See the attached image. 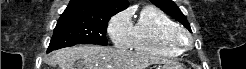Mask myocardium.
Here are the masks:
<instances>
[{
  "label": "myocardium",
  "mask_w": 246,
  "mask_h": 69,
  "mask_svg": "<svg viewBox=\"0 0 246 69\" xmlns=\"http://www.w3.org/2000/svg\"><path fill=\"white\" fill-rule=\"evenodd\" d=\"M170 38L175 44L182 48H188L192 43L190 34L180 26H176L170 31Z\"/></svg>",
  "instance_id": "1"
}]
</instances>
